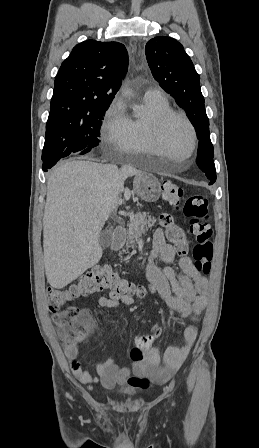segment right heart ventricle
<instances>
[{"instance_id": "obj_1", "label": "right heart ventricle", "mask_w": 259, "mask_h": 448, "mask_svg": "<svg viewBox=\"0 0 259 448\" xmlns=\"http://www.w3.org/2000/svg\"><path fill=\"white\" fill-rule=\"evenodd\" d=\"M142 102L147 109L144 117H136L134 113L125 110L120 114L128 133V152L121 158L123 163H139V155L142 152L155 149L152 141L153 119L172 111L165 94H152L147 90L143 94Z\"/></svg>"}]
</instances>
